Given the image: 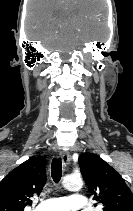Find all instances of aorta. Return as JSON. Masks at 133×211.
<instances>
[{
  "instance_id": "aorta-1",
  "label": "aorta",
  "mask_w": 133,
  "mask_h": 211,
  "mask_svg": "<svg viewBox=\"0 0 133 211\" xmlns=\"http://www.w3.org/2000/svg\"><path fill=\"white\" fill-rule=\"evenodd\" d=\"M62 185L69 191H79L83 187V181L80 176L68 175L64 177Z\"/></svg>"
}]
</instances>
